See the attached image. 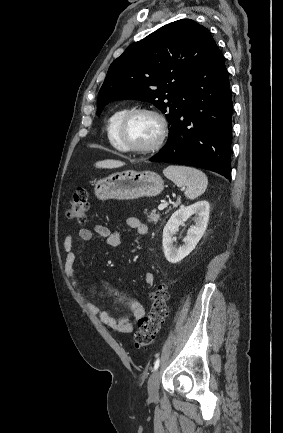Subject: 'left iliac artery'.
<instances>
[{
    "mask_svg": "<svg viewBox=\"0 0 283 433\" xmlns=\"http://www.w3.org/2000/svg\"><path fill=\"white\" fill-rule=\"evenodd\" d=\"M160 364V359L157 358L156 361L154 362V370H157Z\"/></svg>",
    "mask_w": 283,
    "mask_h": 433,
    "instance_id": "1",
    "label": "left iliac artery"
}]
</instances>
